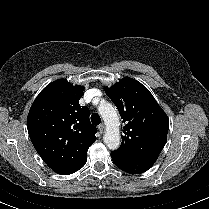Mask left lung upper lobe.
Masks as SVG:
<instances>
[{"mask_svg":"<svg viewBox=\"0 0 209 209\" xmlns=\"http://www.w3.org/2000/svg\"><path fill=\"white\" fill-rule=\"evenodd\" d=\"M105 91L125 123L122 144L114 153L156 162L166 144L169 119L150 91L131 78H124Z\"/></svg>","mask_w":209,"mask_h":209,"instance_id":"obj_1","label":"left lung upper lobe"}]
</instances>
